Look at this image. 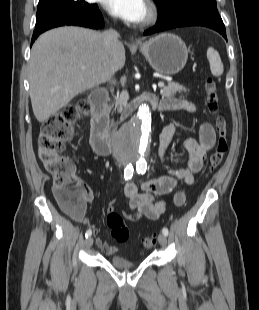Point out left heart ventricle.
Here are the masks:
<instances>
[{
  "label": "left heart ventricle",
  "instance_id": "obj_1",
  "mask_svg": "<svg viewBox=\"0 0 259 310\" xmlns=\"http://www.w3.org/2000/svg\"><path fill=\"white\" fill-rule=\"evenodd\" d=\"M146 15H147V7H146V11H145V14H144L143 19L146 17ZM143 19H142V20H143Z\"/></svg>",
  "mask_w": 259,
  "mask_h": 310
}]
</instances>
